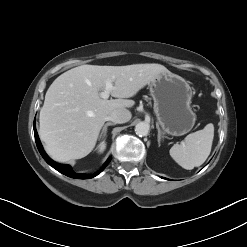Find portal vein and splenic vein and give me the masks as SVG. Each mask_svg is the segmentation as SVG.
I'll use <instances>...</instances> for the list:
<instances>
[{
    "instance_id": "obj_1",
    "label": "portal vein and splenic vein",
    "mask_w": 247,
    "mask_h": 247,
    "mask_svg": "<svg viewBox=\"0 0 247 247\" xmlns=\"http://www.w3.org/2000/svg\"><path fill=\"white\" fill-rule=\"evenodd\" d=\"M114 89V86L110 80L106 81L105 83V89L103 92L100 93V96L103 99H108L111 91Z\"/></svg>"
}]
</instances>
